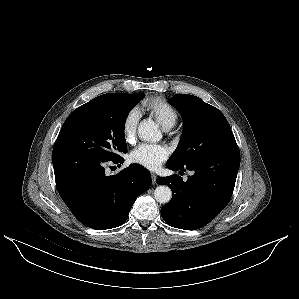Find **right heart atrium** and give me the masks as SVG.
Masks as SVG:
<instances>
[{"instance_id":"obj_1","label":"right heart atrium","mask_w":299,"mask_h":299,"mask_svg":"<svg viewBox=\"0 0 299 299\" xmlns=\"http://www.w3.org/2000/svg\"><path fill=\"white\" fill-rule=\"evenodd\" d=\"M140 120V113L136 108L129 110L122 122V134L124 140L132 144L136 140L137 128Z\"/></svg>"}]
</instances>
